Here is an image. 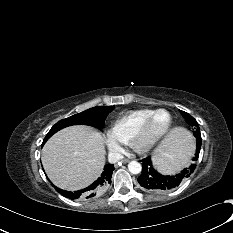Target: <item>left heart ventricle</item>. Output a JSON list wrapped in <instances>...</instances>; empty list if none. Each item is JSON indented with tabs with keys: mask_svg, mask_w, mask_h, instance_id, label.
I'll use <instances>...</instances> for the list:
<instances>
[{
	"mask_svg": "<svg viewBox=\"0 0 233 233\" xmlns=\"http://www.w3.org/2000/svg\"><path fill=\"white\" fill-rule=\"evenodd\" d=\"M167 122V115L164 112L158 113L153 120L148 129V136L152 137L160 132Z\"/></svg>",
	"mask_w": 233,
	"mask_h": 233,
	"instance_id": "1",
	"label": "left heart ventricle"
}]
</instances>
